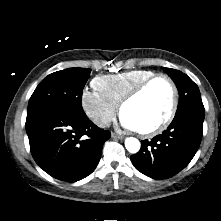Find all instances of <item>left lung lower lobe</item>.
Listing matches in <instances>:
<instances>
[{
	"mask_svg": "<svg viewBox=\"0 0 221 221\" xmlns=\"http://www.w3.org/2000/svg\"><path fill=\"white\" fill-rule=\"evenodd\" d=\"M203 107H188L176 112L161 135L141 142V149L131 156L138 171L153 179H166L185 168L201 143Z\"/></svg>",
	"mask_w": 221,
	"mask_h": 221,
	"instance_id": "left-lung-lower-lobe-1",
	"label": "left lung lower lobe"
}]
</instances>
